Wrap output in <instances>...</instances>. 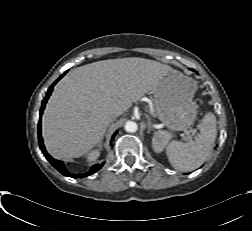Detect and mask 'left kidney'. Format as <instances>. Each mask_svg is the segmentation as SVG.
Wrapping results in <instances>:
<instances>
[{
  "mask_svg": "<svg viewBox=\"0 0 252 231\" xmlns=\"http://www.w3.org/2000/svg\"><path fill=\"white\" fill-rule=\"evenodd\" d=\"M168 139L169 134H167L166 132H156L152 139V145L155 152H162L166 143L168 142Z\"/></svg>",
  "mask_w": 252,
  "mask_h": 231,
  "instance_id": "obj_1",
  "label": "left kidney"
}]
</instances>
